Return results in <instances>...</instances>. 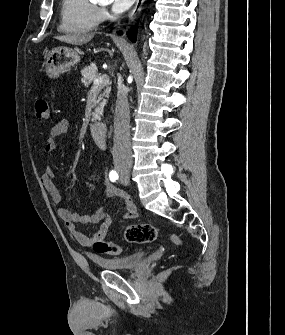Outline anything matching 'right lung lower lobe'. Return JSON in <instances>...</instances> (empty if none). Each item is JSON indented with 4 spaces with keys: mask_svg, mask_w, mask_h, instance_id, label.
I'll list each match as a JSON object with an SVG mask.
<instances>
[{
    "mask_svg": "<svg viewBox=\"0 0 285 335\" xmlns=\"http://www.w3.org/2000/svg\"><path fill=\"white\" fill-rule=\"evenodd\" d=\"M136 34H137V27L132 28L129 32H128V37L130 38V40L132 42L136 41Z\"/></svg>",
    "mask_w": 285,
    "mask_h": 335,
    "instance_id": "1",
    "label": "right lung lower lobe"
}]
</instances>
